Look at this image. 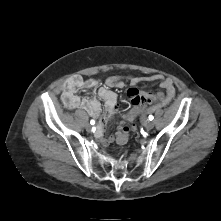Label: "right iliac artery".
<instances>
[{"mask_svg":"<svg viewBox=\"0 0 221 221\" xmlns=\"http://www.w3.org/2000/svg\"><path fill=\"white\" fill-rule=\"evenodd\" d=\"M90 124H91V125H94V124H95V121H94V120H91V121H90Z\"/></svg>","mask_w":221,"mask_h":221,"instance_id":"right-iliac-artery-1","label":"right iliac artery"}]
</instances>
